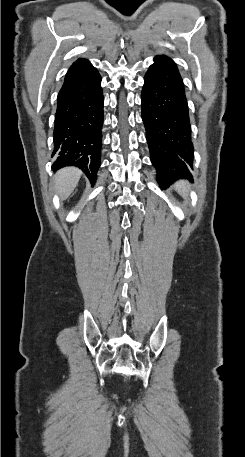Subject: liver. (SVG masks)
<instances>
[{"instance_id": "6515ba94", "label": "liver", "mask_w": 245, "mask_h": 457, "mask_svg": "<svg viewBox=\"0 0 245 457\" xmlns=\"http://www.w3.org/2000/svg\"><path fill=\"white\" fill-rule=\"evenodd\" d=\"M82 174L80 168L76 166H66V168H60L55 174V188L61 198L65 200L71 192H73L75 186L79 182V178Z\"/></svg>"}]
</instances>
